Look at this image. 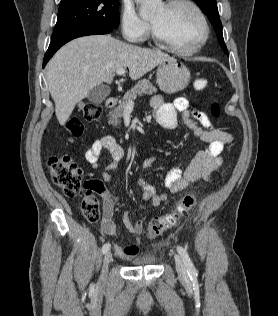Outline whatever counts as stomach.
I'll list each match as a JSON object with an SVG mask.
<instances>
[{"instance_id": "1", "label": "stomach", "mask_w": 278, "mask_h": 316, "mask_svg": "<svg viewBox=\"0 0 278 316\" xmlns=\"http://www.w3.org/2000/svg\"><path fill=\"white\" fill-rule=\"evenodd\" d=\"M156 77L160 89L168 94L185 89L191 79L187 67L174 58L159 64Z\"/></svg>"}]
</instances>
